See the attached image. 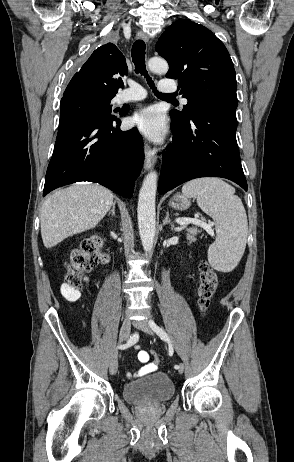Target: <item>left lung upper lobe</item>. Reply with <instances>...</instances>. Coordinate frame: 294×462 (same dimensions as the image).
I'll return each instance as SVG.
<instances>
[{
    "mask_svg": "<svg viewBox=\"0 0 294 462\" xmlns=\"http://www.w3.org/2000/svg\"><path fill=\"white\" fill-rule=\"evenodd\" d=\"M156 51L169 63L167 78L179 79L180 94L188 103L171 118L188 122L211 103L238 104L236 73L224 44L206 27L184 19L161 35Z\"/></svg>",
    "mask_w": 294,
    "mask_h": 462,
    "instance_id": "left-lung-upper-lobe-1",
    "label": "left lung upper lobe"
}]
</instances>
